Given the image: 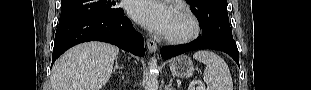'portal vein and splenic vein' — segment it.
Instances as JSON below:
<instances>
[{
	"label": "portal vein and splenic vein",
	"mask_w": 311,
	"mask_h": 90,
	"mask_svg": "<svg viewBox=\"0 0 311 90\" xmlns=\"http://www.w3.org/2000/svg\"><path fill=\"white\" fill-rule=\"evenodd\" d=\"M206 88H205V86L203 85V84H201L200 86H198L197 88H196V90H205Z\"/></svg>",
	"instance_id": "portal-vein-and-splenic-vein-1"
}]
</instances>
